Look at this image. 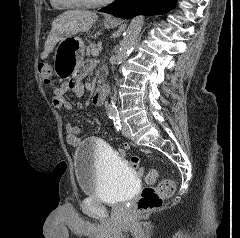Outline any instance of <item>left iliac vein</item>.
I'll use <instances>...</instances> for the list:
<instances>
[{
	"mask_svg": "<svg viewBox=\"0 0 240 238\" xmlns=\"http://www.w3.org/2000/svg\"><path fill=\"white\" fill-rule=\"evenodd\" d=\"M122 133L125 137H129L130 136V129L128 127V125L126 123L122 124Z\"/></svg>",
	"mask_w": 240,
	"mask_h": 238,
	"instance_id": "obj_1",
	"label": "left iliac vein"
}]
</instances>
